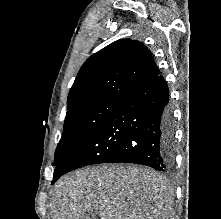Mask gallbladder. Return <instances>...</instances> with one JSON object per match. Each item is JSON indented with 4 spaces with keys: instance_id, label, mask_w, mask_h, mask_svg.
<instances>
[{
    "instance_id": "obj_1",
    "label": "gallbladder",
    "mask_w": 221,
    "mask_h": 219,
    "mask_svg": "<svg viewBox=\"0 0 221 219\" xmlns=\"http://www.w3.org/2000/svg\"><path fill=\"white\" fill-rule=\"evenodd\" d=\"M98 216V212L93 209L83 213L79 219H98Z\"/></svg>"
}]
</instances>
